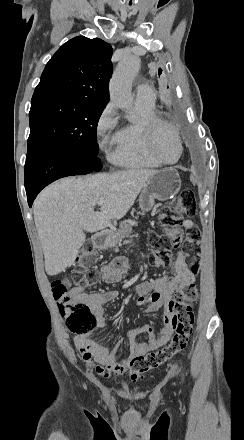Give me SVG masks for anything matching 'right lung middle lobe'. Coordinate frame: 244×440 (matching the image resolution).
<instances>
[{
    "label": "right lung middle lobe",
    "mask_w": 244,
    "mask_h": 440,
    "mask_svg": "<svg viewBox=\"0 0 244 440\" xmlns=\"http://www.w3.org/2000/svg\"><path fill=\"white\" fill-rule=\"evenodd\" d=\"M106 105L89 100L31 101L27 145H54L97 156V124Z\"/></svg>",
    "instance_id": "right-lung-middle-lobe-1"
}]
</instances>
